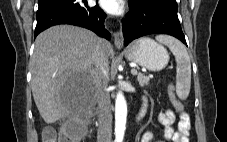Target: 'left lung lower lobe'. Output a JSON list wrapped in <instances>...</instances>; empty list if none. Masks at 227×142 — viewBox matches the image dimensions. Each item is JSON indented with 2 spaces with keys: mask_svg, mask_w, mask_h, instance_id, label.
<instances>
[{
  "mask_svg": "<svg viewBox=\"0 0 227 142\" xmlns=\"http://www.w3.org/2000/svg\"><path fill=\"white\" fill-rule=\"evenodd\" d=\"M177 10V5L162 0L130 4V11L123 23L125 45L141 36L155 33L174 36L186 44Z\"/></svg>",
  "mask_w": 227,
  "mask_h": 142,
  "instance_id": "1",
  "label": "left lung lower lobe"
}]
</instances>
